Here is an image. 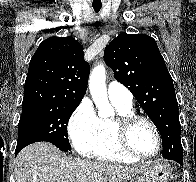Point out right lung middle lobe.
I'll return each mask as SVG.
<instances>
[{
    "instance_id": "right-lung-middle-lobe-1",
    "label": "right lung middle lobe",
    "mask_w": 196,
    "mask_h": 182,
    "mask_svg": "<svg viewBox=\"0 0 196 182\" xmlns=\"http://www.w3.org/2000/svg\"><path fill=\"white\" fill-rule=\"evenodd\" d=\"M77 106L78 104H47L22 107L16 152L39 141L50 142L61 151L71 150L67 124Z\"/></svg>"
}]
</instances>
